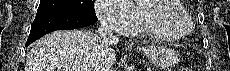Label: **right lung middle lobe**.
I'll list each match as a JSON object with an SVG mask.
<instances>
[{
  "instance_id": "obj_1",
  "label": "right lung middle lobe",
  "mask_w": 230,
  "mask_h": 71,
  "mask_svg": "<svg viewBox=\"0 0 230 71\" xmlns=\"http://www.w3.org/2000/svg\"><path fill=\"white\" fill-rule=\"evenodd\" d=\"M45 13H76L97 18L92 0H41L37 15Z\"/></svg>"
}]
</instances>
